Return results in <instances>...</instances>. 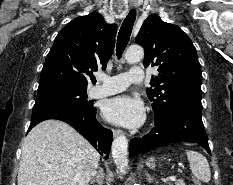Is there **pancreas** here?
<instances>
[{
  "mask_svg": "<svg viewBox=\"0 0 233 185\" xmlns=\"http://www.w3.org/2000/svg\"><path fill=\"white\" fill-rule=\"evenodd\" d=\"M171 185H173V184H171ZM174 185H186V184L184 183L183 180H178V181L175 182Z\"/></svg>",
  "mask_w": 233,
  "mask_h": 185,
  "instance_id": "cf45deb5",
  "label": "pancreas"
}]
</instances>
